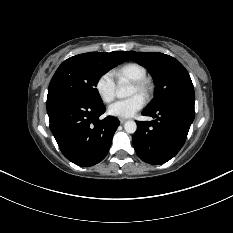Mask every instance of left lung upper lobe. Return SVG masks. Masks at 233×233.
<instances>
[{"mask_svg":"<svg viewBox=\"0 0 233 233\" xmlns=\"http://www.w3.org/2000/svg\"><path fill=\"white\" fill-rule=\"evenodd\" d=\"M126 55L146 67L156 84L155 96L147 109L156 110L170 105H183L194 109V87L189 73L175 58L158 52H130Z\"/></svg>","mask_w":233,"mask_h":233,"instance_id":"5c2ea615","label":"left lung upper lobe"}]
</instances>
